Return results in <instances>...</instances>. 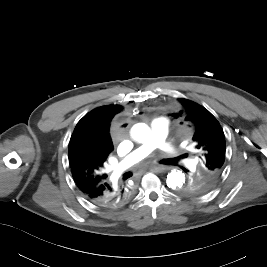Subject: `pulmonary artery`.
Instances as JSON below:
<instances>
[{
  "instance_id": "e3ab8cb5",
  "label": "pulmonary artery",
  "mask_w": 267,
  "mask_h": 267,
  "mask_svg": "<svg viewBox=\"0 0 267 267\" xmlns=\"http://www.w3.org/2000/svg\"><path fill=\"white\" fill-rule=\"evenodd\" d=\"M150 128L151 137L149 140L142 143L121 162L113 167V171L116 176H119L126 169L146 158L157 148H161L171 155L179 156L177 150L173 149L165 142L166 136L169 132V122L166 118L160 117L154 119L150 124ZM179 158L181 159V157Z\"/></svg>"
}]
</instances>
